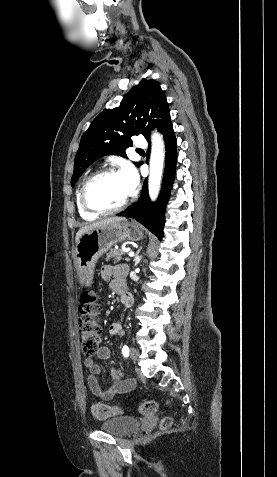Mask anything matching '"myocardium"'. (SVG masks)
Wrapping results in <instances>:
<instances>
[{
    "label": "myocardium",
    "instance_id": "f54148a6",
    "mask_svg": "<svg viewBox=\"0 0 277 477\" xmlns=\"http://www.w3.org/2000/svg\"><path fill=\"white\" fill-rule=\"evenodd\" d=\"M116 173H119V171L114 167L105 168L94 173L85 181L80 191V204L85 211L95 215H108V214L117 213L129 205L130 203L129 196L121 204L112 208H100V207L94 206L88 200V192L94 182H96L98 179L104 176L116 174Z\"/></svg>",
    "mask_w": 277,
    "mask_h": 477
}]
</instances>
